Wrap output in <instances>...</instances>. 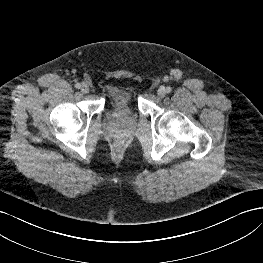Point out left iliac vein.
<instances>
[{
    "label": "left iliac vein",
    "mask_w": 263,
    "mask_h": 263,
    "mask_svg": "<svg viewBox=\"0 0 263 263\" xmlns=\"http://www.w3.org/2000/svg\"><path fill=\"white\" fill-rule=\"evenodd\" d=\"M166 89H165V87H163V86H161L159 89H158V91H157V95L160 97V98H163V97H165V95H166Z\"/></svg>",
    "instance_id": "obj_1"
}]
</instances>
